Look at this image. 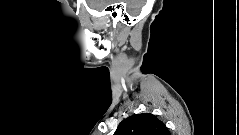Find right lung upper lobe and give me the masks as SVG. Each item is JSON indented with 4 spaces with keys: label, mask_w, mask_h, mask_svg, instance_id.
I'll list each match as a JSON object with an SVG mask.
<instances>
[{
    "label": "right lung upper lobe",
    "mask_w": 239,
    "mask_h": 135,
    "mask_svg": "<svg viewBox=\"0 0 239 135\" xmlns=\"http://www.w3.org/2000/svg\"><path fill=\"white\" fill-rule=\"evenodd\" d=\"M114 135H170V132L155 115L143 113L124 119Z\"/></svg>",
    "instance_id": "cb5924a9"
}]
</instances>
